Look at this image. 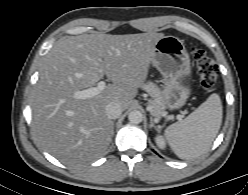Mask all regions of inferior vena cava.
<instances>
[{
    "mask_svg": "<svg viewBox=\"0 0 248 195\" xmlns=\"http://www.w3.org/2000/svg\"><path fill=\"white\" fill-rule=\"evenodd\" d=\"M105 112L109 119H116L122 114L123 109L119 103L110 102L106 105Z\"/></svg>",
    "mask_w": 248,
    "mask_h": 195,
    "instance_id": "inferior-vena-cava-1",
    "label": "inferior vena cava"
}]
</instances>
